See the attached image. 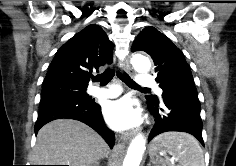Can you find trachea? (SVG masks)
I'll return each mask as SVG.
<instances>
[{"instance_id":"1","label":"trachea","mask_w":236,"mask_h":166,"mask_svg":"<svg viewBox=\"0 0 236 166\" xmlns=\"http://www.w3.org/2000/svg\"><path fill=\"white\" fill-rule=\"evenodd\" d=\"M114 73H115L114 70L109 68L106 71H104L102 74L93 76L92 80L95 82H100L101 85H106L112 80ZM117 75H118V78L122 80L130 88L149 90L148 88H141L126 73L118 72Z\"/></svg>"}]
</instances>
